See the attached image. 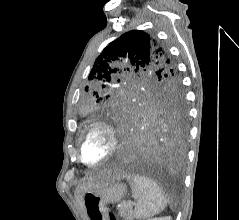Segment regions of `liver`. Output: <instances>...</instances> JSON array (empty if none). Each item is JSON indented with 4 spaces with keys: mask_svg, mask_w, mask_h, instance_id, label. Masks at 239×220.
Instances as JSON below:
<instances>
[{
    "mask_svg": "<svg viewBox=\"0 0 239 220\" xmlns=\"http://www.w3.org/2000/svg\"><path fill=\"white\" fill-rule=\"evenodd\" d=\"M125 177V172L121 170L109 171L105 174L98 175L96 177L89 178L87 181H84L76 188V199L78 204L82 207V197L83 194L93 188L101 187L111 181H119Z\"/></svg>",
    "mask_w": 239,
    "mask_h": 220,
    "instance_id": "obj_1",
    "label": "liver"
}]
</instances>
